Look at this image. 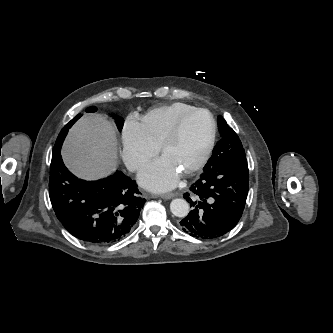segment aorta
Returning <instances> with one entry per match:
<instances>
[{
	"mask_svg": "<svg viewBox=\"0 0 333 333\" xmlns=\"http://www.w3.org/2000/svg\"><path fill=\"white\" fill-rule=\"evenodd\" d=\"M171 212L177 217H186L189 213V205L184 199H174L170 204Z\"/></svg>",
	"mask_w": 333,
	"mask_h": 333,
	"instance_id": "obj_1",
	"label": "aorta"
}]
</instances>
